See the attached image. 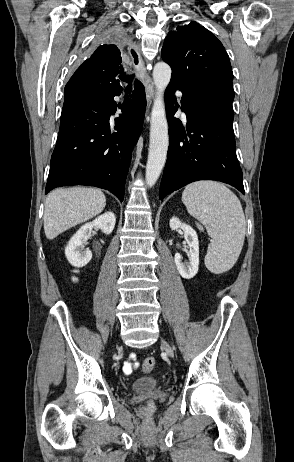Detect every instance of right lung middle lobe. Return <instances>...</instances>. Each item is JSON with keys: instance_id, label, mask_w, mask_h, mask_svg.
Returning a JSON list of instances; mask_svg holds the SVG:
<instances>
[{"instance_id": "1", "label": "right lung middle lobe", "mask_w": 294, "mask_h": 462, "mask_svg": "<svg viewBox=\"0 0 294 462\" xmlns=\"http://www.w3.org/2000/svg\"><path fill=\"white\" fill-rule=\"evenodd\" d=\"M123 31L118 27L109 28L98 35L96 40V45H104V43H111V42H119L122 40ZM92 98H77V99H70L65 100L63 104V109L85 104L87 101H90Z\"/></svg>"}]
</instances>
